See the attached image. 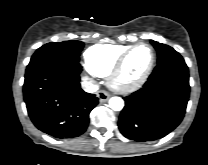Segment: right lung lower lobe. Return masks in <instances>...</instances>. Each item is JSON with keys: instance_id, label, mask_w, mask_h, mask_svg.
<instances>
[{"instance_id": "1", "label": "right lung lower lobe", "mask_w": 208, "mask_h": 165, "mask_svg": "<svg viewBox=\"0 0 208 165\" xmlns=\"http://www.w3.org/2000/svg\"><path fill=\"white\" fill-rule=\"evenodd\" d=\"M80 73L79 62L65 55L48 56L27 66L24 101L39 130L58 138L85 132L98 98L81 89Z\"/></svg>"}]
</instances>
